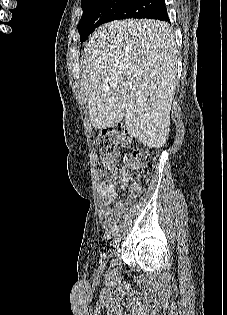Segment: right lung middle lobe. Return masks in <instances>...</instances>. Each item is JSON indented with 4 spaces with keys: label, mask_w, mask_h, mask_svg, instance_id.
<instances>
[{
    "label": "right lung middle lobe",
    "mask_w": 227,
    "mask_h": 315,
    "mask_svg": "<svg viewBox=\"0 0 227 315\" xmlns=\"http://www.w3.org/2000/svg\"><path fill=\"white\" fill-rule=\"evenodd\" d=\"M160 0H82V18L78 24L80 41L88 39L94 29L104 23L129 18H150Z\"/></svg>",
    "instance_id": "dd1d6c3e"
}]
</instances>
